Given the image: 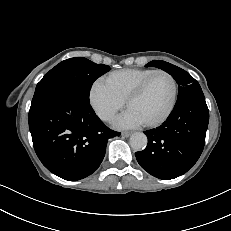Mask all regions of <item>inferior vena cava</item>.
<instances>
[{
	"mask_svg": "<svg viewBox=\"0 0 231 231\" xmlns=\"http://www.w3.org/2000/svg\"><path fill=\"white\" fill-rule=\"evenodd\" d=\"M112 116H113L112 114H110V113H106V114H104V115H103V117H102V118H103L104 120H109V119H111V118H112Z\"/></svg>",
	"mask_w": 231,
	"mask_h": 231,
	"instance_id": "1",
	"label": "inferior vena cava"
}]
</instances>
